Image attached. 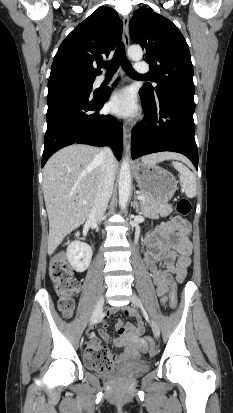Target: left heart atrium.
Segmentation results:
<instances>
[{"instance_id": "1", "label": "left heart atrium", "mask_w": 233, "mask_h": 413, "mask_svg": "<svg viewBox=\"0 0 233 413\" xmlns=\"http://www.w3.org/2000/svg\"><path fill=\"white\" fill-rule=\"evenodd\" d=\"M108 108L121 117L135 116L138 112V105L134 92L129 88L114 91L109 98Z\"/></svg>"}]
</instances>
